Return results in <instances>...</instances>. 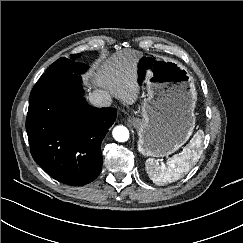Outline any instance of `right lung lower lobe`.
I'll use <instances>...</instances> for the list:
<instances>
[{
	"label": "right lung lower lobe",
	"instance_id": "98d812e1",
	"mask_svg": "<svg viewBox=\"0 0 243 243\" xmlns=\"http://www.w3.org/2000/svg\"><path fill=\"white\" fill-rule=\"evenodd\" d=\"M116 112L89 106L79 75L43 74L31 92L26 119L33 159L61 183L92 182L101 172V143Z\"/></svg>",
	"mask_w": 243,
	"mask_h": 243
}]
</instances>
